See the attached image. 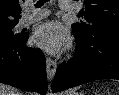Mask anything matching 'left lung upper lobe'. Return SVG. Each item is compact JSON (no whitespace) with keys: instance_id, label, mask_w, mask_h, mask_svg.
Masks as SVG:
<instances>
[{"instance_id":"5c2ea615","label":"left lung upper lobe","mask_w":119,"mask_h":95,"mask_svg":"<svg viewBox=\"0 0 119 95\" xmlns=\"http://www.w3.org/2000/svg\"><path fill=\"white\" fill-rule=\"evenodd\" d=\"M84 5L85 9L80 12V16H84L87 23L72 24L78 38L119 35V0H84Z\"/></svg>"}]
</instances>
